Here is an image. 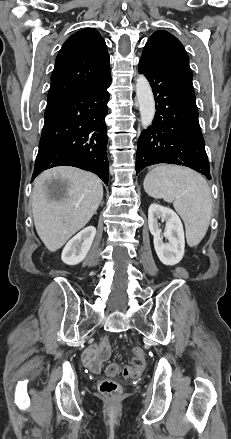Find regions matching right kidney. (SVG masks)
<instances>
[{
	"label": "right kidney",
	"mask_w": 231,
	"mask_h": 439,
	"mask_svg": "<svg viewBox=\"0 0 231 439\" xmlns=\"http://www.w3.org/2000/svg\"><path fill=\"white\" fill-rule=\"evenodd\" d=\"M95 235L94 226H88L80 231L64 247L62 261L67 265H77L82 262L91 248Z\"/></svg>",
	"instance_id": "obj_1"
}]
</instances>
